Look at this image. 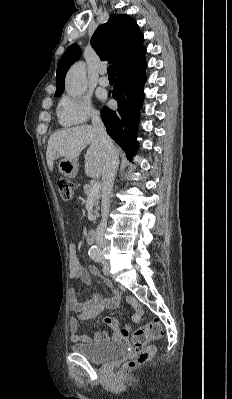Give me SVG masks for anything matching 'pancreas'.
Wrapping results in <instances>:
<instances>
[{"label":"pancreas","instance_id":"obj_1","mask_svg":"<svg viewBox=\"0 0 232 399\" xmlns=\"http://www.w3.org/2000/svg\"><path fill=\"white\" fill-rule=\"evenodd\" d=\"M93 184H86V186H84L83 190H84V194L86 196V198H89V200H94V207H95V215L96 217H98L99 213H98V209H99V200L101 198L100 194H90V190L92 188Z\"/></svg>","mask_w":232,"mask_h":399}]
</instances>
